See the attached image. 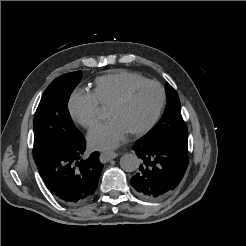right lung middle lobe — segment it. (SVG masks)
<instances>
[{"mask_svg":"<svg viewBox=\"0 0 246 246\" xmlns=\"http://www.w3.org/2000/svg\"><path fill=\"white\" fill-rule=\"evenodd\" d=\"M81 78V71L61 75L44 91L33 121V158L80 135L70 116L68 101Z\"/></svg>","mask_w":246,"mask_h":246,"instance_id":"dd1d6c3e","label":"right lung middle lobe"}]
</instances>
